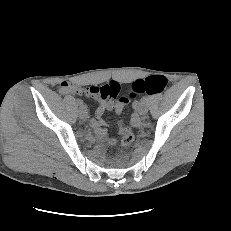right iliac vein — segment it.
Wrapping results in <instances>:
<instances>
[{
    "mask_svg": "<svg viewBox=\"0 0 231 231\" xmlns=\"http://www.w3.org/2000/svg\"><path fill=\"white\" fill-rule=\"evenodd\" d=\"M79 117L81 119H86L88 118V110L86 108V106H81L79 109Z\"/></svg>",
    "mask_w": 231,
    "mask_h": 231,
    "instance_id": "right-iliac-vein-1",
    "label": "right iliac vein"
}]
</instances>
